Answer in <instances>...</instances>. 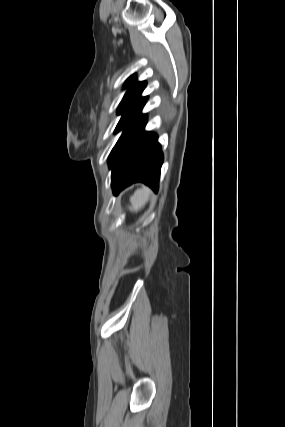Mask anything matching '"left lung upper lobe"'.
<instances>
[{
  "label": "left lung upper lobe",
  "mask_w": 285,
  "mask_h": 427,
  "mask_svg": "<svg viewBox=\"0 0 285 427\" xmlns=\"http://www.w3.org/2000/svg\"><path fill=\"white\" fill-rule=\"evenodd\" d=\"M145 86V81H136V75H132L131 77H129L124 84V87L128 88V90L118 107V114H122V117L115 129V132L124 129L122 136L141 116V110L144 107L148 98L141 97V93L144 90Z\"/></svg>",
  "instance_id": "5c2ea615"
}]
</instances>
